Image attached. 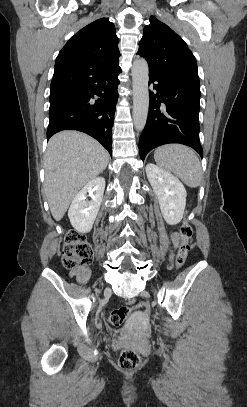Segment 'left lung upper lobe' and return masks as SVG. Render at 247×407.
<instances>
[{
  "instance_id": "5c2ea615",
  "label": "left lung upper lobe",
  "mask_w": 247,
  "mask_h": 407,
  "mask_svg": "<svg viewBox=\"0 0 247 407\" xmlns=\"http://www.w3.org/2000/svg\"><path fill=\"white\" fill-rule=\"evenodd\" d=\"M137 54L147 60L150 73L199 83L197 62L187 44L154 16L144 27Z\"/></svg>"
}]
</instances>
